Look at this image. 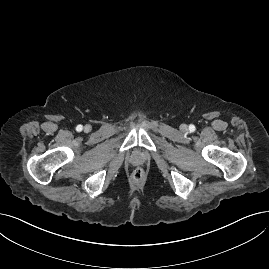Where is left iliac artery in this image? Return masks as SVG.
<instances>
[{"instance_id": "44dca946", "label": "left iliac artery", "mask_w": 269, "mask_h": 269, "mask_svg": "<svg viewBox=\"0 0 269 269\" xmlns=\"http://www.w3.org/2000/svg\"><path fill=\"white\" fill-rule=\"evenodd\" d=\"M189 130H190V132H194L195 131V126L191 124L189 126Z\"/></svg>"}]
</instances>
